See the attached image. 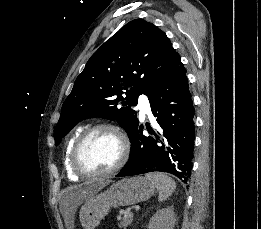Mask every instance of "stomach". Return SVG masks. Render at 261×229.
I'll return each mask as SVG.
<instances>
[{
  "label": "stomach",
  "instance_id": "1",
  "mask_svg": "<svg viewBox=\"0 0 261 229\" xmlns=\"http://www.w3.org/2000/svg\"><path fill=\"white\" fill-rule=\"evenodd\" d=\"M155 189L153 181L145 177H131V179H122L113 183L107 191L86 199L79 213L83 229H95L111 207H126V205H136V203L147 201L154 195Z\"/></svg>",
  "mask_w": 261,
  "mask_h": 229
}]
</instances>
